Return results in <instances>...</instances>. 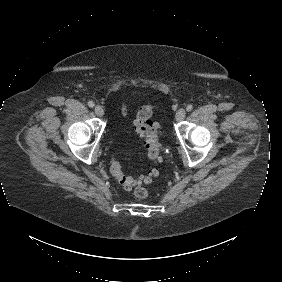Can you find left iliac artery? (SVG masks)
<instances>
[{
  "label": "left iliac artery",
  "mask_w": 282,
  "mask_h": 282,
  "mask_svg": "<svg viewBox=\"0 0 282 282\" xmlns=\"http://www.w3.org/2000/svg\"><path fill=\"white\" fill-rule=\"evenodd\" d=\"M193 109V106L191 104H189L187 107H186V110L189 112Z\"/></svg>",
  "instance_id": "1"
}]
</instances>
